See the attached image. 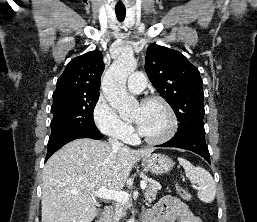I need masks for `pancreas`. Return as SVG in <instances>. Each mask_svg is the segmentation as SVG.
Instances as JSON below:
<instances>
[{"mask_svg": "<svg viewBox=\"0 0 257 222\" xmlns=\"http://www.w3.org/2000/svg\"><path fill=\"white\" fill-rule=\"evenodd\" d=\"M158 190L159 186L155 185L153 181L150 182L144 194L146 201L151 203L155 200ZM130 206L129 203H117L114 212H112L110 216L109 222H119V220L126 215V210L129 209Z\"/></svg>", "mask_w": 257, "mask_h": 222, "instance_id": "obj_1", "label": "pancreas"}]
</instances>
